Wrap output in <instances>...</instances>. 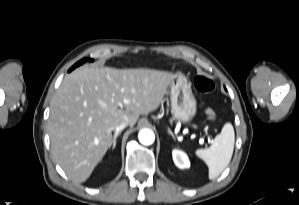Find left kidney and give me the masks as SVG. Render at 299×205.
Wrapping results in <instances>:
<instances>
[{
  "instance_id": "5707ae66",
  "label": "left kidney",
  "mask_w": 299,
  "mask_h": 205,
  "mask_svg": "<svg viewBox=\"0 0 299 205\" xmlns=\"http://www.w3.org/2000/svg\"><path fill=\"white\" fill-rule=\"evenodd\" d=\"M172 157L175 165L178 168L184 169V168H189L190 166V161L188 159V156L181 150L174 149L172 151Z\"/></svg>"
}]
</instances>
